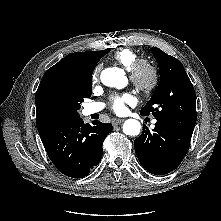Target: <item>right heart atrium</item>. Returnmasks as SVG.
Returning <instances> with one entry per match:
<instances>
[{
  "mask_svg": "<svg viewBox=\"0 0 221 221\" xmlns=\"http://www.w3.org/2000/svg\"><path fill=\"white\" fill-rule=\"evenodd\" d=\"M98 79H99V68H96L92 75V83L93 84L97 83Z\"/></svg>",
  "mask_w": 221,
  "mask_h": 221,
  "instance_id": "d8ad5b80",
  "label": "right heart atrium"
}]
</instances>
